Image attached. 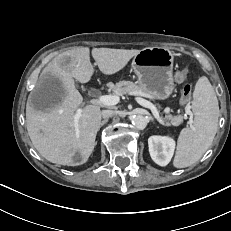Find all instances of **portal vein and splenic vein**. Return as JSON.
Masks as SVG:
<instances>
[{
  "instance_id": "obj_1",
  "label": "portal vein and splenic vein",
  "mask_w": 231,
  "mask_h": 231,
  "mask_svg": "<svg viewBox=\"0 0 231 231\" xmlns=\"http://www.w3.org/2000/svg\"><path fill=\"white\" fill-rule=\"evenodd\" d=\"M119 100H120L119 96H117V95H101V96L97 97L96 99H94V102L98 103V104H103L105 106H113V105H116L119 102ZM138 103L140 105H142L143 107L150 109L153 116L155 117V119L159 123L164 124V120L160 117L159 112L153 103H151L150 101H147L145 99H142V98L138 99ZM81 113H82V109L79 108L75 114L76 124H77V122L81 116Z\"/></svg>"
}]
</instances>
